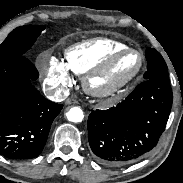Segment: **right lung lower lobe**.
<instances>
[{"label": "right lung lower lobe", "instance_id": "right-lung-lower-lobe-1", "mask_svg": "<svg viewBox=\"0 0 183 183\" xmlns=\"http://www.w3.org/2000/svg\"><path fill=\"white\" fill-rule=\"evenodd\" d=\"M38 77L25 55L0 62V155L6 158L38 156L63 107L44 98L33 86Z\"/></svg>", "mask_w": 183, "mask_h": 183}]
</instances>
